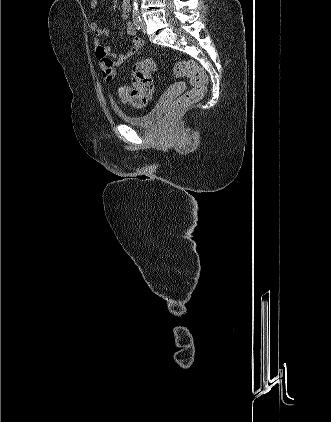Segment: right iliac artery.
Wrapping results in <instances>:
<instances>
[{
	"instance_id": "82829eb1",
	"label": "right iliac artery",
	"mask_w": 331,
	"mask_h": 422,
	"mask_svg": "<svg viewBox=\"0 0 331 422\" xmlns=\"http://www.w3.org/2000/svg\"><path fill=\"white\" fill-rule=\"evenodd\" d=\"M133 23L137 30L141 29V17L139 11H133L132 15Z\"/></svg>"
}]
</instances>
